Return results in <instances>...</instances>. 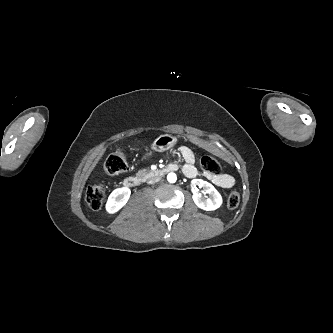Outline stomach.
Instances as JSON below:
<instances>
[{
  "label": "stomach",
  "mask_w": 333,
  "mask_h": 333,
  "mask_svg": "<svg viewBox=\"0 0 333 333\" xmlns=\"http://www.w3.org/2000/svg\"><path fill=\"white\" fill-rule=\"evenodd\" d=\"M177 142V139L172 135H160L152 146V149L157 152H164L172 148Z\"/></svg>",
  "instance_id": "obj_1"
}]
</instances>
